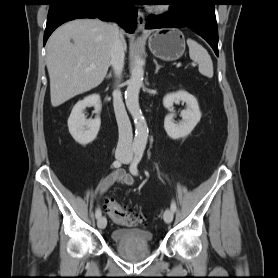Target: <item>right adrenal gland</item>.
Masks as SVG:
<instances>
[{
	"mask_svg": "<svg viewBox=\"0 0 278 278\" xmlns=\"http://www.w3.org/2000/svg\"><path fill=\"white\" fill-rule=\"evenodd\" d=\"M112 77L111 72L106 76L107 79H110Z\"/></svg>",
	"mask_w": 278,
	"mask_h": 278,
	"instance_id": "obj_1",
	"label": "right adrenal gland"
}]
</instances>
